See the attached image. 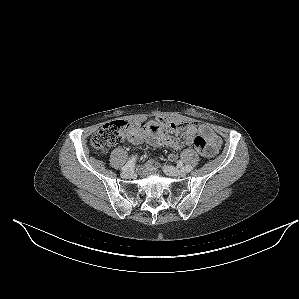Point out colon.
I'll list each match as a JSON object with an SVG mask.
<instances>
[{"label":"colon","instance_id":"1","mask_svg":"<svg viewBox=\"0 0 299 299\" xmlns=\"http://www.w3.org/2000/svg\"><path fill=\"white\" fill-rule=\"evenodd\" d=\"M161 125L175 134H183L188 124L171 121L167 118L160 119ZM145 124L132 123L125 120H114L105 124L91 139V146L98 152H107L112 146L121 142L126 134L133 128L143 129ZM195 149L207 156L209 149L207 141L202 136H197L193 143Z\"/></svg>","mask_w":299,"mask_h":299}]
</instances>
